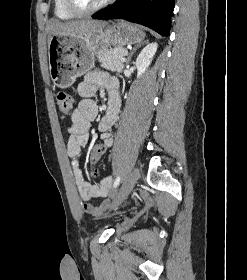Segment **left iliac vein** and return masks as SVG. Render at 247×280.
I'll return each mask as SVG.
<instances>
[{"mask_svg": "<svg viewBox=\"0 0 247 280\" xmlns=\"http://www.w3.org/2000/svg\"><path fill=\"white\" fill-rule=\"evenodd\" d=\"M137 182V174L136 172H130L124 182L123 185L118 193V195L116 196L113 204H112V208L115 209L117 208V206L124 201L128 195L131 193V191L133 190L135 184Z\"/></svg>", "mask_w": 247, "mask_h": 280, "instance_id": "left-iliac-vein-1", "label": "left iliac vein"}]
</instances>
